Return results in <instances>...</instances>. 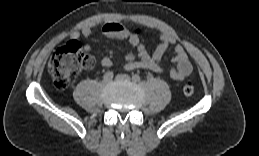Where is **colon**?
Masks as SVG:
<instances>
[{
    "instance_id": "obj_1",
    "label": "colon",
    "mask_w": 259,
    "mask_h": 156,
    "mask_svg": "<svg viewBox=\"0 0 259 156\" xmlns=\"http://www.w3.org/2000/svg\"><path fill=\"white\" fill-rule=\"evenodd\" d=\"M93 60L84 53V49L77 41H70L58 48L48 62V71L55 86L59 89L68 87L84 69L90 68ZM183 93L190 96L194 93L192 82H185Z\"/></svg>"
}]
</instances>
